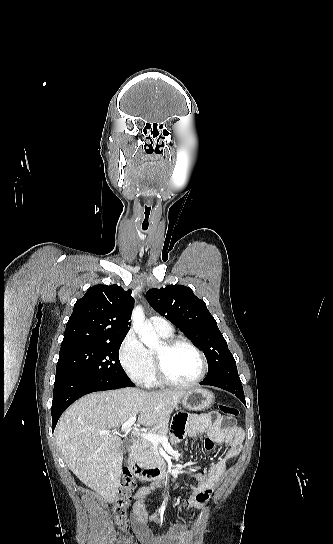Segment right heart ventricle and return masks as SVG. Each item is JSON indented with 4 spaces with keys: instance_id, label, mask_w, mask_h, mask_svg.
<instances>
[{
    "instance_id": "obj_1",
    "label": "right heart ventricle",
    "mask_w": 333,
    "mask_h": 544,
    "mask_svg": "<svg viewBox=\"0 0 333 544\" xmlns=\"http://www.w3.org/2000/svg\"><path fill=\"white\" fill-rule=\"evenodd\" d=\"M159 335L165 339H168V338H171L172 337V334L170 335H163V334H160ZM149 355H150V358H151V362H152V367H151V370H150V373L148 375V378L145 382V385L146 386H150V387H153V386H157L160 384V382L158 381L157 377H156V374H155V369H154V361H153V355L151 352H149Z\"/></svg>"
}]
</instances>
